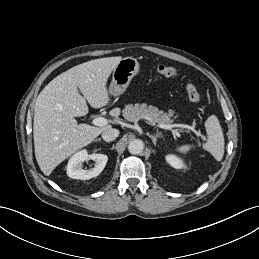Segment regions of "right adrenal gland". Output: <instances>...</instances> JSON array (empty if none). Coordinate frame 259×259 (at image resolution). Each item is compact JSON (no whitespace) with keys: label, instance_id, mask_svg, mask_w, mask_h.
Returning a JSON list of instances; mask_svg holds the SVG:
<instances>
[{"label":"right adrenal gland","instance_id":"right-adrenal-gland-1","mask_svg":"<svg viewBox=\"0 0 259 259\" xmlns=\"http://www.w3.org/2000/svg\"><path fill=\"white\" fill-rule=\"evenodd\" d=\"M97 141L101 142L102 140H101V138H98L94 142H97Z\"/></svg>","mask_w":259,"mask_h":259}]
</instances>
